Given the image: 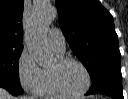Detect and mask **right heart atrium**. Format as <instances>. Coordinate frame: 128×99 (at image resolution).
I'll return each instance as SVG.
<instances>
[{
  "instance_id": "obj_1",
  "label": "right heart atrium",
  "mask_w": 128,
  "mask_h": 99,
  "mask_svg": "<svg viewBox=\"0 0 128 99\" xmlns=\"http://www.w3.org/2000/svg\"><path fill=\"white\" fill-rule=\"evenodd\" d=\"M17 68L22 88L28 92L36 93L43 80V70L29 51L24 50L21 53Z\"/></svg>"
}]
</instances>
